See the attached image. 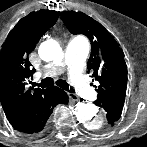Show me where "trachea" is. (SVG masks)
I'll return each mask as SVG.
<instances>
[{
    "instance_id": "1",
    "label": "trachea",
    "mask_w": 147,
    "mask_h": 147,
    "mask_svg": "<svg viewBox=\"0 0 147 147\" xmlns=\"http://www.w3.org/2000/svg\"><path fill=\"white\" fill-rule=\"evenodd\" d=\"M53 84V79L50 78V77H47L45 79H43L39 84L37 83H32V86L35 87V86H39L41 88H46V87H49ZM56 84L61 87L62 89L66 90V91H72V89L70 88L69 90V84L65 81V80H58L56 82Z\"/></svg>"
}]
</instances>
